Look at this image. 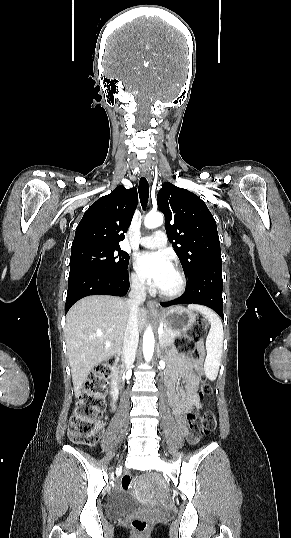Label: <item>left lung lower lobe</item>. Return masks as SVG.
<instances>
[{"instance_id": "0a47b994", "label": "left lung lower lobe", "mask_w": 291, "mask_h": 538, "mask_svg": "<svg viewBox=\"0 0 291 538\" xmlns=\"http://www.w3.org/2000/svg\"><path fill=\"white\" fill-rule=\"evenodd\" d=\"M188 280L185 293L180 298L161 302V306L200 304L213 309L224 320L222 264L204 267L193 273Z\"/></svg>"}]
</instances>
